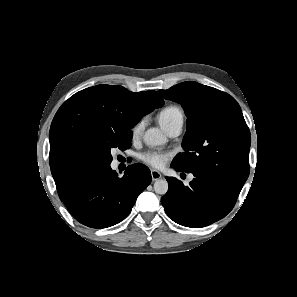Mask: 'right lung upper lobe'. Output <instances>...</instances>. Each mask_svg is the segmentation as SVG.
<instances>
[{
    "label": "right lung upper lobe",
    "instance_id": "right-lung-upper-lobe-1",
    "mask_svg": "<svg viewBox=\"0 0 297 297\" xmlns=\"http://www.w3.org/2000/svg\"><path fill=\"white\" fill-rule=\"evenodd\" d=\"M155 91H128L122 86L98 85L66 100L50 128V168L59 194L89 171L84 151L96 139L131 131L140 119L163 106Z\"/></svg>",
    "mask_w": 297,
    "mask_h": 297
}]
</instances>
